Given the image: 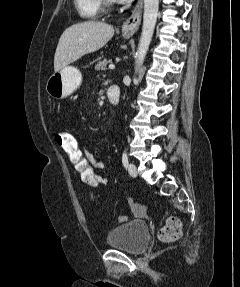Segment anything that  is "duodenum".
<instances>
[{
  "instance_id": "410a0bca",
  "label": "duodenum",
  "mask_w": 240,
  "mask_h": 287,
  "mask_svg": "<svg viewBox=\"0 0 240 287\" xmlns=\"http://www.w3.org/2000/svg\"><path fill=\"white\" fill-rule=\"evenodd\" d=\"M107 98L112 104H118L120 101V88L117 85H112L107 91Z\"/></svg>"
}]
</instances>
